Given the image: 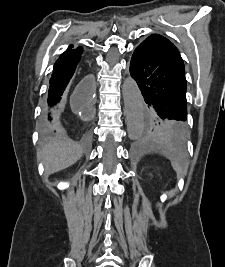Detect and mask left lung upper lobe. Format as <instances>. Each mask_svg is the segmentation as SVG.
I'll use <instances>...</instances> for the list:
<instances>
[{
  "label": "left lung upper lobe",
  "mask_w": 225,
  "mask_h": 267,
  "mask_svg": "<svg viewBox=\"0 0 225 267\" xmlns=\"http://www.w3.org/2000/svg\"><path fill=\"white\" fill-rule=\"evenodd\" d=\"M157 35V34H156ZM149 128L152 131L158 132L165 137H168L176 142H182L186 136V123H183L184 137L182 139L178 138L173 132L174 123L165 117L157 116L151 109L148 116Z\"/></svg>",
  "instance_id": "left-lung-upper-lobe-1"
}]
</instances>
